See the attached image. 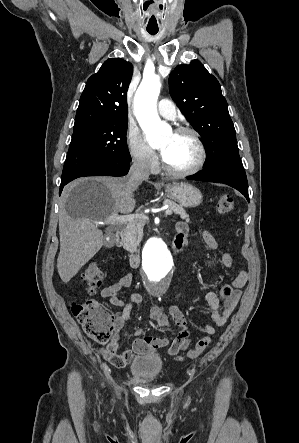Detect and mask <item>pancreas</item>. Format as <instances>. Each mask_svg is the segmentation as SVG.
<instances>
[{
    "label": "pancreas",
    "mask_w": 299,
    "mask_h": 443,
    "mask_svg": "<svg viewBox=\"0 0 299 443\" xmlns=\"http://www.w3.org/2000/svg\"><path fill=\"white\" fill-rule=\"evenodd\" d=\"M163 204L168 205L169 209L175 214H179L181 219L190 221L189 215L186 213L184 208L174 201L165 199ZM146 223V219H138L131 224H128L122 234L123 247L129 252H136L137 247L143 237V227Z\"/></svg>",
    "instance_id": "obj_1"
}]
</instances>
